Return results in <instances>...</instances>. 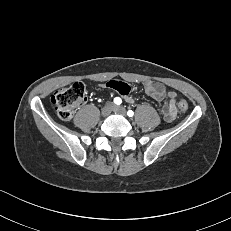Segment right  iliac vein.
<instances>
[{"label": "right iliac vein", "instance_id": "obj_1", "mask_svg": "<svg viewBox=\"0 0 231 231\" xmlns=\"http://www.w3.org/2000/svg\"><path fill=\"white\" fill-rule=\"evenodd\" d=\"M114 105L112 103H107L101 110V115L103 117H107L110 115L111 111L113 110Z\"/></svg>", "mask_w": 231, "mask_h": 231}]
</instances>
